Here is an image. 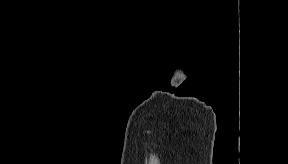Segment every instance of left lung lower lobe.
<instances>
[{
	"mask_svg": "<svg viewBox=\"0 0 288 164\" xmlns=\"http://www.w3.org/2000/svg\"><path fill=\"white\" fill-rule=\"evenodd\" d=\"M233 75L229 70L218 72H204L198 75L197 97L203 101H210L215 96V88L219 91L226 88L232 81ZM213 84V86H212Z\"/></svg>",
	"mask_w": 288,
	"mask_h": 164,
	"instance_id": "0a47b994",
	"label": "left lung lower lobe"
}]
</instances>
